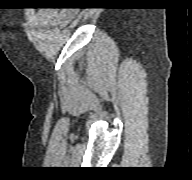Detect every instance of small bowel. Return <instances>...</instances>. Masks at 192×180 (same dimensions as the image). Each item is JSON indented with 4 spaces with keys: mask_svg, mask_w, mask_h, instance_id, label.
I'll list each match as a JSON object with an SVG mask.
<instances>
[{
    "mask_svg": "<svg viewBox=\"0 0 192 180\" xmlns=\"http://www.w3.org/2000/svg\"><path fill=\"white\" fill-rule=\"evenodd\" d=\"M61 19L66 20L67 14L53 10H41L36 14L35 22L38 26L49 27L56 25Z\"/></svg>",
    "mask_w": 192,
    "mask_h": 180,
    "instance_id": "c3829d8e",
    "label": "small bowel"
}]
</instances>
